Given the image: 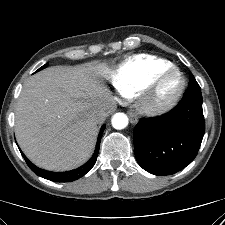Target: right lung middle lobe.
Listing matches in <instances>:
<instances>
[{"instance_id":"right-lung-middle-lobe-1","label":"right lung middle lobe","mask_w":225,"mask_h":225,"mask_svg":"<svg viewBox=\"0 0 225 225\" xmlns=\"http://www.w3.org/2000/svg\"><path fill=\"white\" fill-rule=\"evenodd\" d=\"M47 66V64H45L44 66H42L41 68H39L37 71L44 69Z\"/></svg>"}]
</instances>
